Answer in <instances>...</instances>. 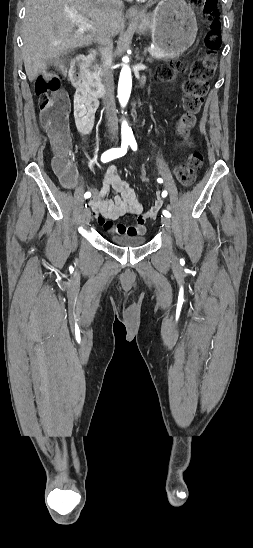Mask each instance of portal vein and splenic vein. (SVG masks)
<instances>
[{"instance_id":"1","label":"portal vein and splenic vein","mask_w":253,"mask_h":548,"mask_svg":"<svg viewBox=\"0 0 253 548\" xmlns=\"http://www.w3.org/2000/svg\"><path fill=\"white\" fill-rule=\"evenodd\" d=\"M73 18L79 23V29L81 32L84 31H90L92 29V25L89 23L88 19L81 15L73 16ZM154 49V46L148 47V50L151 51Z\"/></svg>"}]
</instances>
